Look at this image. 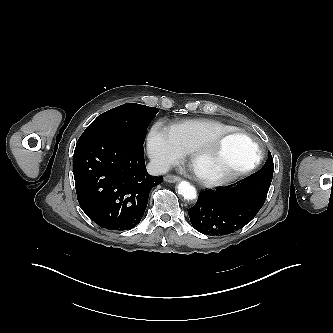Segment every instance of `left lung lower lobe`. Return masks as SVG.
I'll use <instances>...</instances> for the list:
<instances>
[{"instance_id": "1", "label": "left lung lower lobe", "mask_w": 333, "mask_h": 333, "mask_svg": "<svg viewBox=\"0 0 333 333\" xmlns=\"http://www.w3.org/2000/svg\"><path fill=\"white\" fill-rule=\"evenodd\" d=\"M273 171L258 172L224 188L199 194L189 209L193 227L206 235H226L250 222L263 206Z\"/></svg>"}]
</instances>
